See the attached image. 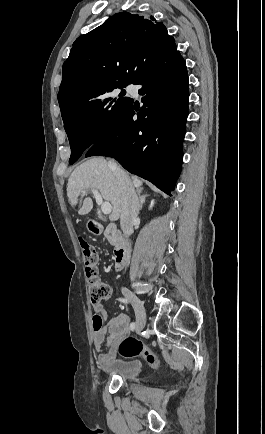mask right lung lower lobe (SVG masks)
<instances>
[{
  "label": "right lung lower lobe",
  "mask_w": 265,
  "mask_h": 434,
  "mask_svg": "<svg viewBox=\"0 0 265 434\" xmlns=\"http://www.w3.org/2000/svg\"><path fill=\"white\" fill-rule=\"evenodd\" d=\"M133 84L141 85L144 105L139 108L133 101L121 121L94 143L85 157H113L129 172L171 195L181 171L188 116L185 60L176 48L169 50ZM135 115L137 119H133Z\"/></svg>",
  "instance_id": "obj_1"
}]
</instances>
